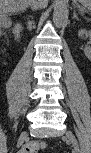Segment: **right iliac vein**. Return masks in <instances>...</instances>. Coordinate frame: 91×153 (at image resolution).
I'll use <instances>...</instances> for the list:
<instances>
[{
  "label": "right iliac vein",
  "instance_id": "1",
  "mask_svg": "<svg viewBox=\"0 0 91 153\" xmlns=\"http://www.w3.org/2000/svg\"><path fill=\"white\" fill-rule=\"evenodd\" d=\"M26 137H27V132H23V133L21 134L19 140H18L17 145H18V146L22 145V143H23V141H24V139H25Z\"/></svg>",
  "mask_w": 91,
  "mask_h": 153
}]
</instances>
